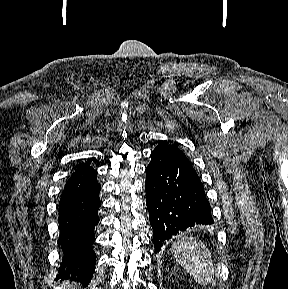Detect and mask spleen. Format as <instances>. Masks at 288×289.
I'll use <instances>...</instances> for the list:
<instances>
[{
    "instance_id": "obj_1",
    "label": "spleen",
    "mask_w": 288,
    "mask_h": 289,
    "mask_svg": "<svg viewBox=\"0 0 288 289\" xmlns=\"http://www.w3.org/2000/svg\"><path fill=\"white\" fill-rule=\"evenodd\" d=\"M175 260L200 285L214 281V264L210 251L201 241L182 235L171 246Z\"/></svg>"
}]
</instances>
